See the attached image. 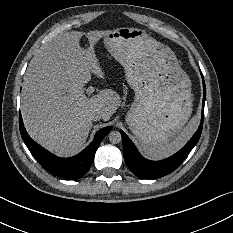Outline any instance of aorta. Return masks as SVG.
<instances>
[{"label":"aorta","mask_w":233,"mask_h":233,"mask_svg":"<svg viewBox=\"0 0 233 233\" xmlns=\"http://www.w3.org/2000/svg\"><path fill=\"white\" fill-rule=\"evenodd\" d=\"M121 140H122V137L119 131H111L109 133V141L112 144L120 143Z\"/></svg>","instance_id":"obj_1"}]
</instances>
